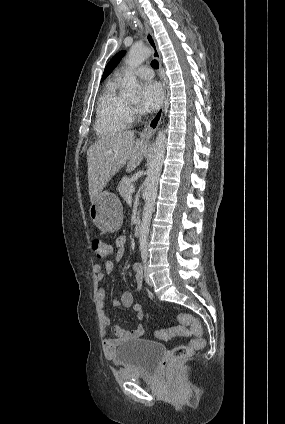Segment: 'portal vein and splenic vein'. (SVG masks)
<instances>
[{"mask_svg":"<svg viewBox=\"0 0 285 424\" xmlns=\"http://www.w3.org/2000/svg\"><path fill=\"white\" fill-rule=\"evenodd\" d=\"M134 191H135V187L132 185V186H130L129 187V193L130 194H133L134 193Z\"/></svg>","mask_w":285,"mask_h":424,"instance_id":"18ae733b","label":"portal vein and splenic vein"}]
</instances>
